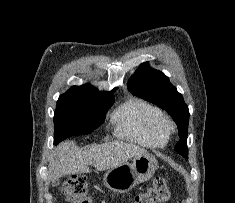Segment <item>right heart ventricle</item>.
Returning <instances> with one entry per match:
<instances>
[{"mask_svg": "<svg viewBox=\"0 0 235 203\" xmlns=\"http://www.w3.org/2000/svg\"><path fill=\"white\" fill-rule=\"evenodd\" d=\"M162 115L157 106L133 97L118 106L112 115V122L118 137L155 148L168 142V134L159 129Z\"/></svg>", "mask_w": 235, "mask_h": 203, "instance_id": "obj_1", "label": "right heart ventricle"}]
</instances>
